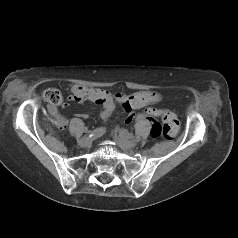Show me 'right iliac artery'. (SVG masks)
<instances>
[{
	"instance_id": "obj_1",
	"label": "right iliac artery",
	"mask_w": 238,
	"mask_h": 238,
	"mask_svg": "<svg viewBox=\"0 0 238 238\" xmlns=\"http://www.w3.org/2000/svg\"><path fill=\"white\" fill-rule=\"evenodd\" d=\"M106 132V129L104 127H99L95 129L94 131L89 133V137L92 139L98 138L102 136Z\"/></svg>"
}]
</instances>
